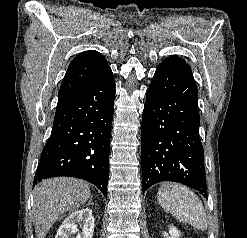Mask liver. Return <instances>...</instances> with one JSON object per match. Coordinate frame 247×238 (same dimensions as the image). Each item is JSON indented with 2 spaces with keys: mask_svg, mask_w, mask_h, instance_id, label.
Listing matches in <instances>:
<instances>
[{
  "mask_svg": "<svg viewBox=\"0 0 247 238\" xmlns=\"http://www.w3.org/2000/svg\"><path fill=\"white\" fill-rule=\"evenodd\" d=\"M85 181L59 177L42 181L34 189V224L38 238H45L61 215L81 207L90 198Z\"/></svg>",
  "mask_w": 247,
  "mask_h": 238,
  "instance_id": "liver-1",
  "label": "liver"
}]
</instances>
